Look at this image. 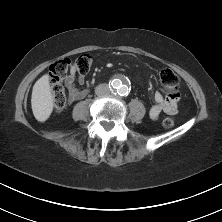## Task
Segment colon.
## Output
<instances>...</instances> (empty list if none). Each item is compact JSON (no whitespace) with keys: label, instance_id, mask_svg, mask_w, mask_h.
Segmentation results:
<instances>
[{"label":"colon","instance_id":"5ec220e1","mask_svg":"<svg viewBox=\"0 0 222 222\" xmlns=\"http://www.w3.org/2000/svg\"><path fill=\"white\" fill-rule=\"evenodd\" d=\"M92 64L93 56L85 53L77 57L74 61L70 59H60L50 65V84L53 93L54 109L57 112H61L67 104V93L64 81L70 73L71 68H74L79 74L85 75L90 71ZM159 81L168 94L172 90H179L180 78L170 69L161 71ZM162 124L165 128H171L175 124V118L173 116L166 117Z\"/></svg>","mask_w":222,"mask_h":222}]
</instances>
